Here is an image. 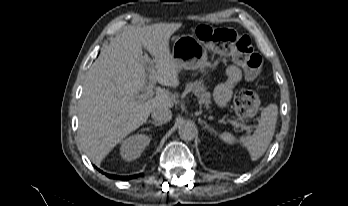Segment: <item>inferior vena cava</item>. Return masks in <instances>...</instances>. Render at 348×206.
<instances>
[{
    "label": "inferior vena cava",
    "instance_id": "obj_1",
    "mask_svg": "<svg viewBox=\"0 0 348 206\" xmlns=\"http://www.w3.org/2000/svg\"><path fill=\"white\" fill-rule=\"evenodd\" d=\"M151 117L154 121L163 124L171 120L172 112L168 108L158 107L152 111Z\"/></svg>",
    "mask_w": 348,
    "mask_h": 206
}]
</instances>
